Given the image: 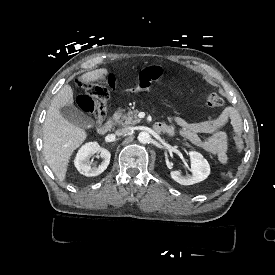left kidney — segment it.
<instances>
[{
	"mask_svg": "<svg viewBox=\"0 0 275 275\" xmlns=\"http://www.w3.org/2000/svg\"><path fill=\"white\" fill-rule=\"evenodd\" d=\"M192 176H182L180 171H172L171 177L181 185H192L205 180L210 174V165L202 154L189 152Z\"/></svg>",
	"mask_w": 275,
	"mask_h": 275,
	"instance_id": "left-kidney-1",
	"label": "left kidney"
}]
</instances>
